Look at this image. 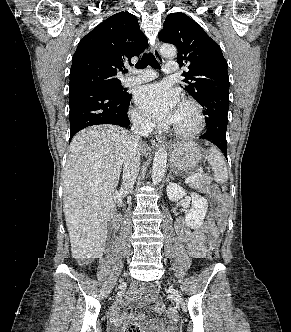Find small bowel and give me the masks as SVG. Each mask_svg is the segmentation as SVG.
I'll return each instance as SVG.
<instances>
[{
	"label": "small bowel",
	"mask_w": 291,
	"mask_h": 332,
	"mask_svg": "<svg viewBox=\"0 0 291 332\" xmlns=\"http://www.w3.org/2000/svg\"><path fill=\"white\" fill-rule=\"evenodd\" d=\"M221 227L218 226L213 220L208 219L204 222L201 229L190 230L185 224L178 225V235L182 241L185 242L189 254L196 259L204 258L207 251V237L210 242L218 243L221 235ZM131 303L143 304L152 302L154 309L158 312L164 311V304L157 298L153 288H136L131 292ZM116 324H123L128 321H145L142 314H131L128 316H119L118 313L114 314ZM145 328L150 332H168L172 329V321L167 319L165 321L150 320L145 321Z\"/></svg>",
	"instance_id": "small-bowel-1"
}]
</instances>
